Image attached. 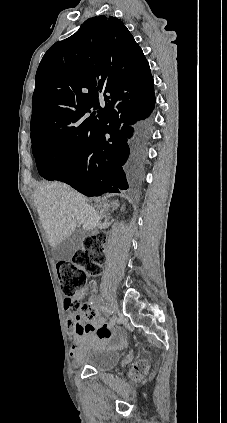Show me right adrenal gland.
Instances as JSON below:
<instances>
[{
	"label": "right adrenal gland",
	"mask_w": 227,
	"mask_h": 423,
	"mask_svg": "<svg viewBox=\"0 0 227 423\" xmlns=\"http://www.w3.org/2000/svg\"><path fill=\"white\" fill-rule=\"evenodd\" d=\"M118 206V202H111V204H104V206H99V208H101L102 213H108L109 208H112V210H117Z\"/></svg>",
	"instance_id": "obj_1"
}]
</instances>
